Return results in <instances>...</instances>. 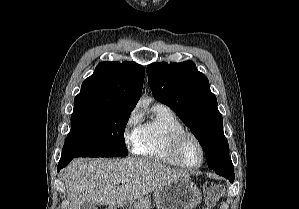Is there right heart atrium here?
Returning a JSON list of instances; mask_svg holds the SVG:
<instances>
[{
	"mask_svg": "<svg viewBox=\"0 0 299 209\" xmlns=\"http://www.w3.org/2000/svg\"><path fill=\"white\" fill-rule=\"evenodd\" d=\"M139 125L140 117L137 110L134 109L127 116L122 132L123 141L127 147L134 148L138 138Z\"/></svg>",
	"mask_w": 299,
	"mask_h": 209,
	"instance_id": "1",
	"label": "right heart atrium"
}]
</instances>
